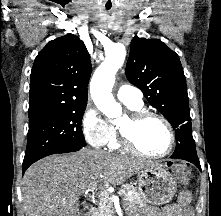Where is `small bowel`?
Here are the masks:
<instances>
[{
	"label": "small bowel",
	"mask_w": 221,
	"mask_h": 216,
	"mask_svg": "<svg viewBox=\"0 0 221 216\" xmlns=\"http://www.w3.org/2000/svg\"><path fill=\"white\" fill-rule=\"evenodd\" d=\"M191 203V193L185 191L179 196L176 202L163 209L162 216H194Z\"/></svg>",
	"instance_id": "small-bowel-1"
}]
</instances>
